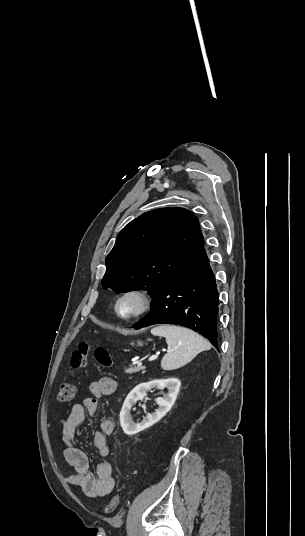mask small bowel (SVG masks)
<instances>
[{
  "instance_id": "c3829d8e",
  "label": "small bowel",
  "mask_w": 305,
  "mask_h": 536,
  "mask_svg": "<svg viewBox=\"0 0 305 536\" xmlns=\"http://www.w3.org/2000/svg\"><path fill=\"white\" fill-rule=\"evenodd\" d=\"M117 383L112 377H102L88 386L89 397L73 405L70 413L62 420L61 438L65 446L64 458L72 468L68 482L91 498L107 496L115 487L112 465L105 458L110 455L112 445L109 436L114 432V421L110 417L101 420L100 430L92 436V446L101 459L96 462V473L89 471L86 454L76 445V432L85 418V413L93 415L98 409L99 398L116 391Z\"/></svg>"
}]
</instances>
